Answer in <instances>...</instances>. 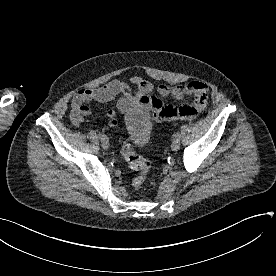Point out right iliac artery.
Wrapping results in <instances>:
<instances>
[{
    "label": "right iliac artery",
    "instance_id": "1",
    "mask_svg": "<svg viewBox=\"0 0 276 276\" xmlns=\"http://www.w3.org/2000/svg\"><path fill=\"white\" fill-rule=\"evenodd\" d=\"M99 138H100L101 140H104V139H107V136L104 135V134H99Z\"/></svg>",
    "mask_w": 276,
    "mask_h": 276
}]
</instances>
